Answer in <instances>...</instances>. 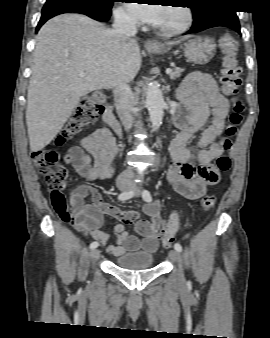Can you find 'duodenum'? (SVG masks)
<instances>
[{
	"mask_svg": "<svg viewBox=\"0 0 270 338\" xmlns=\"http://www.w3.org/2000/svg\"><path fill=\"white\" fill-rule=\"evenodd\" d=\"M102 118L108 125H110L115 130L118 135L121 134L119 121L116 118L114 109L111 105H107L105 107L102 112Z\"/></svg>",
	"mask_w": 270,
	"mask_h": 338,
	"instance_id": "duodenum-1",
	"label": "duodenum"
}]
</instances>
